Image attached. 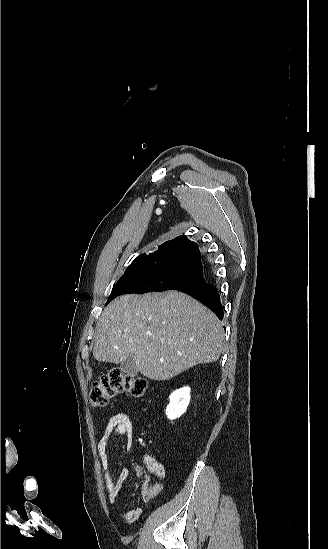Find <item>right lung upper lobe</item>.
<instances>
[{
  "instance_id": "right-lung-upper-lobe-1",
  "label": "right lung upper lobe",
  "mask_w": 328,
  "mask_h": 549,
  "mask_svg": "<svg viewBox=\"0 0 328 549\" xmlns=\"http://www.w3.org/2000/svg\"><path fill=\"white\" fill-rule=\"evenodd\" d=\"M136 269L176 270L203 277L198 245L184 235L163 243L153 253L139 255L126 271Z\"/></svg>"
}]
</instances>
